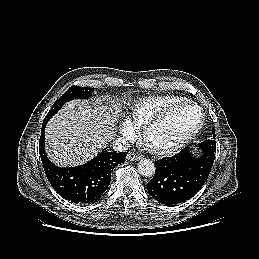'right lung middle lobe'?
I'll return each mask as SVG.
<instances>
[{
    "instance_id": "1",
    "label": "right lung middle lobe",
    "mask_w": 259,
    "mask_h": 259,
    "mask_svg": "<svg viewBox=\"0 0 259 259\" xmlns=\"http://www.w3.org/2000/svg\"><path fill=\"white\" fill-rule=\"evenodd\" d=\"M94 88L71 86L52 106L45 119H50L68 101L86 99L92 95Z\"/></svg>"
}]
</instances>
